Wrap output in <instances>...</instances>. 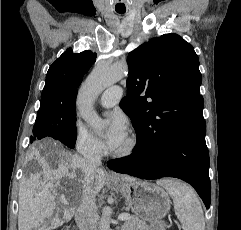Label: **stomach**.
<instances>
[{"instance_id": "1", "label": "stomach", "mask_w": 241, "mask_h": 230, "mask_svg": "<svg viewBox=\"0 0 241 230\" xmlns=\"http://www.w3.org/2000/svg\"><path fill=\"white\" fill-rule=\"evenodd\" d=\"M116 186L132 212L150 223V230H165L163 218L170 211L171 201L161 187L146 181H120Z\"/></svg>"}]
</instances>
